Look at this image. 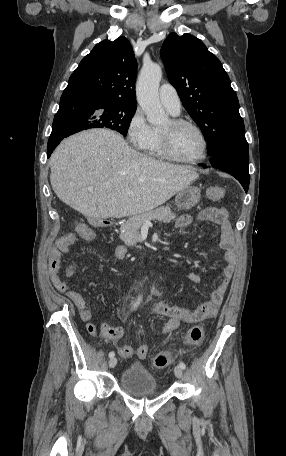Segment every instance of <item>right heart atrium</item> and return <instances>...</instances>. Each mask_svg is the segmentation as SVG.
Instances as JSON below:
<instances>
[{"label": "right heart atrium", "instance_id": "obj_1", "mask_svg": "<svg viewBox=\"0 0 286 456\" xmlns=\"http://www.w3.org/2000/svg\"><path fill=\"white\" fill-rule=\"evenodd\" d=\"M152 131L153 129L147 123L143 111L140 108H136L126 128V136L129 143L135 148L143 149L151 139Z\"/></svg>", "mask_w": 286, "mask_h": 456}]
</instances>
